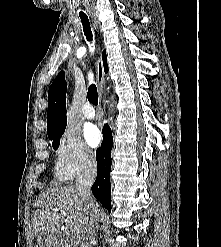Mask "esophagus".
Wrapping results in <instances>:
<instances>
[{"label": "esophagus", "instance_id": "1", "mask_svg": "<svg viewBox=\"0 0 221 247\" xmlns=\"http://www.w3.org/2000/svg\"><path fill=\"white\" fill-rule=\"evenodd\" d=\"M96 79H97L99 94L101 96L102 86L104 82V70H103V63H102L101 58L98 59L97 65H96Z\"/></svg>", "mask_w": 221, "mask_h": 247}]
</instances>
